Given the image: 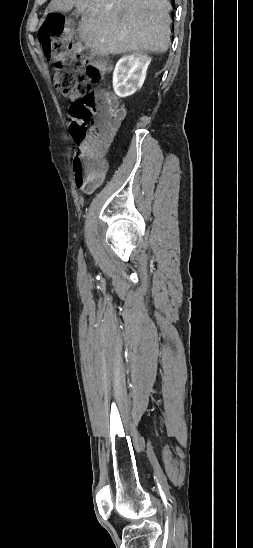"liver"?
I'll return each instance as SVG.
<instances>
[{
	"mask_svg": "<svg viewBox=\"0 0 253 548\" xmlns=\"http://www.w3.org/2000/svg\"><path fill=\"white\" fill-rule=\"evenodd\" d=\"M73 7L81 14L82 41L100 55L164 53L169 48L168 0H51L46 13Z\"/></svg>",
	"mask_w": 253,
	"mask_h": 548,
	"instance_id": "obj_1",
	"label": "liver"
}]
</instances>
